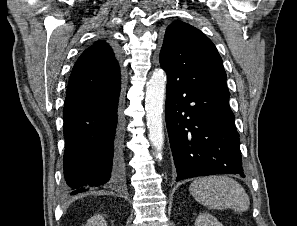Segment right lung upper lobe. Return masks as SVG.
Returning <instances> with one entry per match:
<instances>
[{
    "label": "right lung upper lobe",
    "mask_w": 297,
    "mask_h": 226,
    "mask_svg": "<svg viewBox=\"0 0 297 226\" xmlns=\"http://www.w3.org/2000/svg\"><path fill=\"white\" fill-rule=\"evenodd\" d=\"M120 82V65L113 49L105 41H97L75 63L66 95L106 88Z\"/></svg>",
    "instance_id": "cb5924a9"
}]
</instances>
